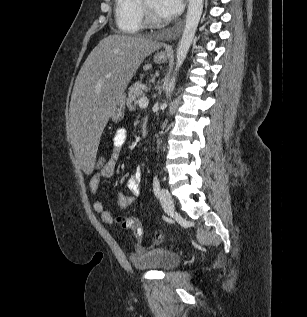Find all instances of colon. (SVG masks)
Segmentation results:
<instances>
[{
    "label": "colon",
    "instance_id": "colon-1",
    "mask_svg": "<svg viewBox=\"0 0 307 317\" xmlns=\"http://www.w3.org/2000/svg\"><path fill=\"white\" fill-rule=\"evenodd\" d=\"M106 163H107V160L103 156L99 155L96 158L94 167L96 170H101L105 166ZM117 221L122 225L123 228L130 229L136 237H141L142 228L140 223L136 219L129 216H122V217H119ZM157 238L162 239L163 235L157 234Z\"/></svg>",
    "mask_w": 307,
    "mask_h": 317
}]
</instances>
